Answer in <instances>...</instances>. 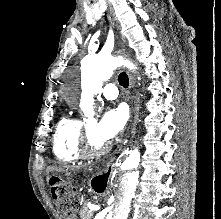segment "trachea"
Returning a JSON list of instances; mask_svg holds the SVG:
<instances>
[{
    "mask_svg": "<svg viewBox=\"0 0 221 219\" xmlns=\"http://www.w3.org/2000/svg\"><path fill=\"white\" fill-rule=\"evenodd\" d=\"M118 81H119V84L121 86H123L124 88H127L128 85H129L128 75L126 73H124V72L119 74Z\"/></svg>",
    "mask_w": 221,
    "mask_h": 219,
    "instance_id": "trachea-1",
    "label": "trachea"
}]
</instances>
